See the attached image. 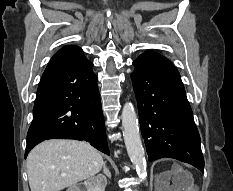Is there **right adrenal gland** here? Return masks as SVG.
I'll list each match as a JSON object with an SVG mask.
<instances>
[{"mask_svg":"<svg viewBox=\"0 0 233 191\" xmlns=\"http://www.w3.org/2000/svg\"><path fill=\"white\" fill-rule=\"evenodd\" d=\"M103 173L108 177L111 178V172L109 171V169L106 167V161L103 162ZM105 178V177H104ZM105 183L107 184V180L105 178Z\"/></svg>","mask_w":233,"mask_h":191,"instance_id":"obj_1","label":"right adrenal gland"}]
</instances>
